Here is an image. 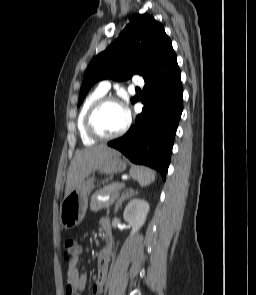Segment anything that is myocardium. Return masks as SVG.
<instances>
[{"instance_id": "myocardium-1", "label": "myocardium", "mask_w": 256, "mask_h": 295, "mask_svg": "<svg viewBox=\"0 0 256 295\" xmlns=\"http://www.w3.org/2000/svg\"><path fill=\"white\" fill-rule=\"evenodd\" d=\"M108 103H115L121 106L125 113H126V122L124 126L117 132L110 134V135H105L97 131V129L94 126V116L96 112L103 107L105 104ZM131 123V117L129 115V112L124 108L120 100L114 96L111 95H104L103 97L99 98L96 100L91 107L88 109L86 116H85V121H84V127L87 132V134L95 139L96 141H109L113 140L115 138H118L122 136L129 128Z\"/></svg>"}]
</instances>
